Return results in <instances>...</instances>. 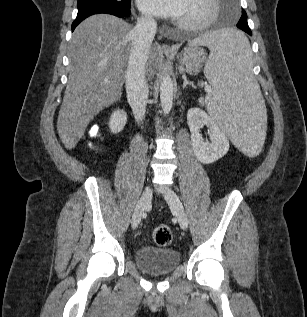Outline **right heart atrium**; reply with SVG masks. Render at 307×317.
Listing matches in <instances>:
<instances>
[{"mask_svg":"<svg viewBox=\"0 0 307 317\" xmlns=\"http://www.w3.org/2000/svg\"><path fill=\"white\" fill-rule=\"evenodd\" d=\"M141 20H142V22L145 23V24L151 23V19H150L149 17H145V16H144V17L141 18Z\"/></svg>","mask_w":307,"mask_h":317,"instance_id":"d8ad5b80","label":"right heart atrium"}]
</instances>
